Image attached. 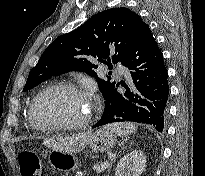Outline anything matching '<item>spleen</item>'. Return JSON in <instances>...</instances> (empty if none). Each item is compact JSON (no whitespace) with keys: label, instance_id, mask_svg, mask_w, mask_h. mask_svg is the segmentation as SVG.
<instances>
[{"label":"spleen","instance_id":"obj_1","mask_svg":"<svg viewBox=\"0 0 205 176\" xmlns=\"http://www.w3.org/2000/svg\"><path fill=\"white\" fill-rule=\"evenodd\" d=\"M112 132H115L118 136L126 137L137 130V126L133 123H113L106 126Z\"/></svg>","mask_w":205,"mask_h":176}]
</instances>
